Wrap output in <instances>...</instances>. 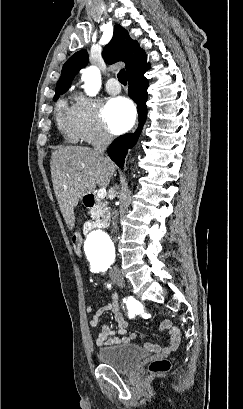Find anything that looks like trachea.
Returning <instances> with one entry per match:
<instances>
[{"instance_id": "3493384b", "label": "trachea", "mask_w": 243, "mask_h": 409, "mask_svg": "<svg viewBox=\"0 0 243 409\" xmlns=\"http://www.w3.org/2000/svg\"><path fill=\"white\" fill-rule=\"evenodd\" d=\"M118 80L120 83H122L123 85L127 84V77H126V72L124 69H122L119 73H118Z\"/></svg>"}]
</instances>
